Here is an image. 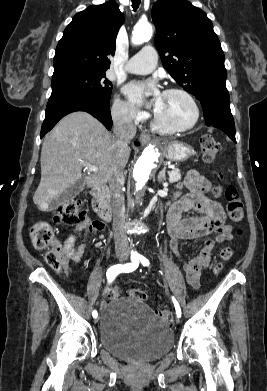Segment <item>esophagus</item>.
<instances>
[{
	"label": "esophagus",
	"mask_w": 267,
	"mask_h": 391,
	"mask_svg": "<svg viewBox=\"0 0 267 391\" xmlns=\"http://www.w3.org/2000/svg\"><path fill=\"white\" fill-rule=\"evenodd\" d=\"M149 141H150V136L148 134H146V133H141L140 134V142L143 145L149 143Z\"/></svg>",
	"instance_id": "esophagus-1"
}]
</instances>
